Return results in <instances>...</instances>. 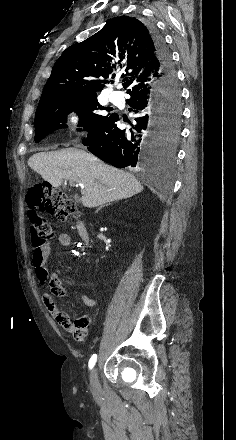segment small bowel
<instances>
[{
  "label": "small bowel",
  "mask_w": 236,
  "mask_h": 440,
  "mask_svg": "<svg viewBox=\"0 0 236 440\" xmlns=\"http://www.w3.org/2000/svg\"><path fill=\"white\" fill-rule=\"evenodd\" d=\"M58 243L62 247H68L72 243V238L68 233H60L58 235ZM51 253V243L47 242L39 247H35L32 252L31 263L35 270L36 277L40 285L47 289L42 295V301L47 311L56 319L59 323L60 330H66L73 335V337L82 341L87 336L88 330H92L93 323L89 321L88 316H81L77 320L71 321L69 316L60 310L54 302L53 295L63 297L66 293L68 286L67 282L62 281L60 271H55L48 278V271L45 267L46 261ZM81 300L84 305L92 309L96 301L88 294L82 293ZM68 319L70 321H62Z\"/></svg>",
  "instance_id": "obj_1"
}]
</instances>
